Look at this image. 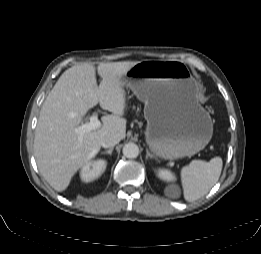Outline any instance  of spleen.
<instances>
[{
    "instance_id": "3e777b00",
    "label": "spleen",
    "mask_w": 261,
    "mask_h": 254,
    "mask_svg": "<svg viewBox=\"0 0 261 254\" xmlns=\"http://www.w3.org/2000/svg\"><path fill=\"white\" fill-rule=\"evenodd\" d=\"M222 166L220 157H214L209 162L192 160L184 166L181 169V182L185 200L193 202L206 195L219 180Z\"/></svg>"
}]
</instances>
